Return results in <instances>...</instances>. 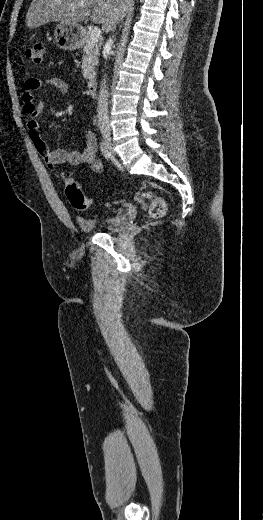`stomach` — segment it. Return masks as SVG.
Wrapping results in <instances>:
<instances>
[{
  "mask_svg": "<svg viewBox=\"0 0 263 520\" xmlns=\"http://www.w3.org/2000/svg\"><path fill=\"white\" fill-rule=\"evenodd\" d=\"M54 35L61 49L74 51L81 45L83 27L79 24L60 22L55 28Z\"/></svg>",
  "mask_w": 263,
  "mask_h": 520,
  "instance_id": "obj_1",
  "label": "stomach"
}]
</instances>
